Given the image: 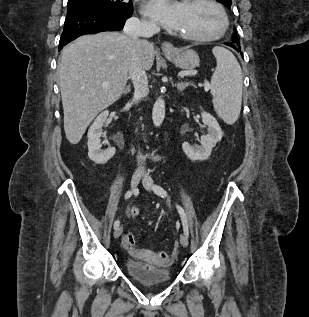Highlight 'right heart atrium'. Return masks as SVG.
I'll return each instance as SVG.
<instances>
[{
    "instance_id": "right-heart-atrium-1",
    "label": "right heart atrium",
    "mask_w": 309,
    "mask_h": 317,
    "mask_svg": "<svg viewBox=\"0 0 309 317\" xmlns=\"http://www.w3.org/2000/svg\"><path fill=\"white\" fill-rule=\"evenodd\" d=\"M140 24L148 29H152L155 27V24L153 22L147 21V20H141Z\"/></svg>"
}]
</instances>
